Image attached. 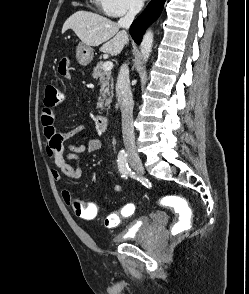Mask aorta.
I'll use <instances>...</instances> for the list:
<instances>
[{
  "label": "aorta",
  "mask_w": 249,
  "mask_h": 294,
  "mask_svg": "<svg viewBox=\"0 0 249 294\" xmlns=\"http://www.w3.org/2000/svg\"><path fill=\"white\" fill-rule=\"evenodd\" d=\"M153 47V33L148 30L143 36L142 42L140 44V51L144 61H147Z\"/></svg>",
  "instance_id": "1"
}]
</instances>
